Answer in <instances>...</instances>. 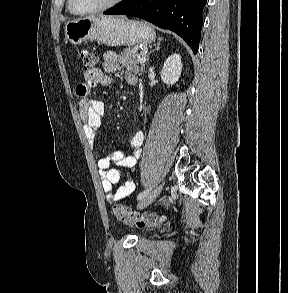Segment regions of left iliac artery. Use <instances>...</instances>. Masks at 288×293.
Wrapping results in <instances>:
<instances>
[{
    "instance_id": "1",
    "label": "left iliac artery",
    "mask_w": 288,
    "mask_h": 293,
    "mask_svg": "<svg viewBox=\"0 0 288 293\" xmlns=\"http://www.w3.org/2000/svg\"><path fill=\"white\" fill-rule=\"evenodd\" d=\"M151 189H152V187H150V188L142 191L141 193H139L138 196H137V199L141 200L142 198H144L149 193V191H151Z\"/></svg>"
}]
</instances>
